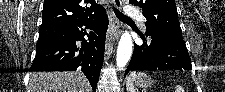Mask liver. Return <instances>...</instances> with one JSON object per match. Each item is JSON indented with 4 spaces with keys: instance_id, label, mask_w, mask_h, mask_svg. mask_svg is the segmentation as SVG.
Returning <instances> with one entry per match:
<instances>
[{
    "instance_id": "obj_1",
    "label": "liver",
    "mask_w": 225,
    "mask_h": 92,
    "mask_svg": "<svg viewBox=\"0 0 225 92\" xmlns=\"http://www.w3.org/2000/svg\"><path fill=\"white\" fill-rule=\"evenodd\" d=\"M28 92H91V87L81 72H34Z\"/></svg>"
}]
</instances>
